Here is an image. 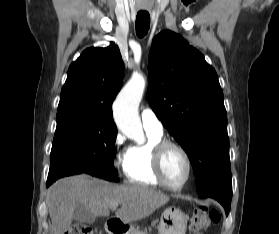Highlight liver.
I'll return each instance as SVG.
<instances>
[{"instance_id":"obj_1","label":"liver","mask_w":279,"mask_h":234,"mask_svg":"<svg viewBox=\"0 0 279 234\" xmlns=\"http://www.w3.org/2000/svg\"><path fill=\"white\" fill-rule=\"evenodd\" d=\"M168 201L169 196L143 185H116L87 175L64 178L49 191L50 234H64L70 228L78 205L95 217H108L111 205L120 204L115 217L130 223L148 217Z\"/></svg>"}]
</instances>
